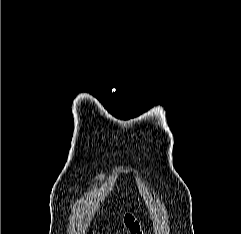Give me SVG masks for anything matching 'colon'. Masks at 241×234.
I'll return each mask as SVG.
<instances>
[{"label": "colon", "instance_id": "colon-1", "mask_svg": "<svg viewBox=\"0 0 241 234\" xmlns=\"http://www.w3.org/2000/svg\"><path fill=\"white\" fill-rule=\"evenodd\" d=\"M124 221L129 230L134 234H143L140 223L133 215H126Z\"/></svg>", "mask_w": 241, "mask_h": 234}]
</instances>
